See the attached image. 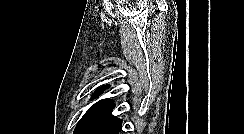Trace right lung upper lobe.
<instances>
[{"label": "right lung upper lobe", "instance_id": "right-lung-upper-lobe-1", "mask_svg": "<svg viewBox=\"0 0 244 134\" xmlns=\"http://www.w3.org/2000/svg\"><path fill=\"white\" fill-rule=\"evenodd\" d=\"M108 87H109V85H106V86H102L101 88H99L98 90H96V92L93 93L92 98H96V97H98L99 95H101L102 92L104 91V89H106V88H108ZM105 101H112V100H110V99H103V100H100L99 102H105ZM97 103H98V102H97Z\"/></svg>", "mask_w": 244, "mask_h": 134}]
</instances>
